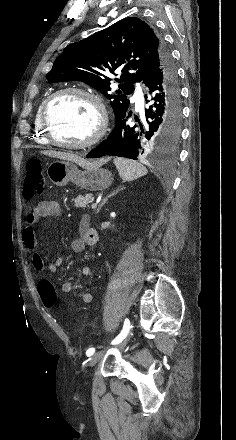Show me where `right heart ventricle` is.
<instances>
[{"label":"right heart ventricle","mask_w":236,"mask_h":440,"mask_svg":"<svg viewBox=\"0 0 236 440\" xmlns=\"http://www.w3.org/2000/svg\"><path fill=\"white\" fill-rule=\"evenodd\" d=\"M44 101L45 100H43L39 104V106L37 107L36 112H35V116H34V139L39 144L48 145L50 143L47 140V138H46V136H45V134L43 132V129L41 127V124H40V113H41V109H42V106L44 104Z\"/></svg>","instance_id":"e07e8e85"}]
</instances>
